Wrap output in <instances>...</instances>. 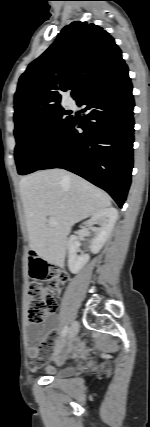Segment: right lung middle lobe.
Returning <instances> with one entry per match:
<instances>
[{"label": "right lung middle lobe", "instance_id": "right-lung-middle-lobe-1", "mask_svg": "<svg viewBox=\"0 0 150 427\" xmlns=\"http://www.w3.org/2000/svg\"><path fill=\"white\" fill-rule=\"evenodd\" d=\"M60 106L42 109L15 122V160L18 173H32L48 157L72 121Z\"/></svg>", "mask_w": 150, "mask_h": 427}]
</instances>
